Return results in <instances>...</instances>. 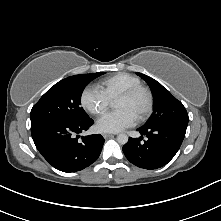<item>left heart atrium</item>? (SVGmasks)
<instances>
[{"mask_svg": "<svg viewBox=\"0 0 221 221\" xmlns=\"http://www.w3.org/2000/svg\"><path fill=\"white\" fill-rule=\"evenodd\" d=\"M136 118L126 110L120 109L107 113L97 120L96 127L100 132L116 133L134 124Z\"/></svg>", "mask_w": 221, "mask_h": 221, "instance_id": "39dd6f15", "label": "left heart atrium"}]
</instances>
